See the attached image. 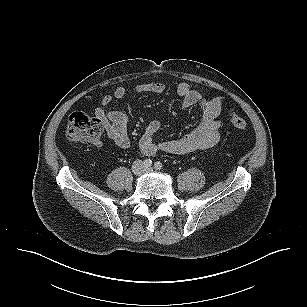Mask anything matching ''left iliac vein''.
I'll return each mask as SVG.
<instances>
[{
  "instance_id": "left-iliac-vein-1",
  "label": "left iliac vein",
  "mask_w": 307,
  "mask_h": 307,
  "mask_svg": "<svg viewBox=\"0 0 307 307\" xmlns=\"http://www.w3.org/2000/svg\"><path fill=\"white\" fill-rule=\"evenodd\" d=\"M145 171L151 172V171H152V168H147Z\"/></svg>"
}]
</instances>
